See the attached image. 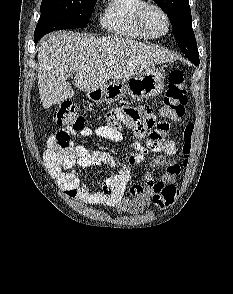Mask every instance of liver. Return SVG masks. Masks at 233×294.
Segmentation results:
<instances>
[{
  "label": "liver",
  "instance_id": "6515ba94",
  "mask_svg": "<svg viewBox=\"0 0 233 294\" xmlns=\"http://www.w3.org/2000/svg\"><path fill=\"white\" fill-rule=\"evenodd\" d=\"M174 57L156 45L119 36L87 37L69 32L45 36L38 49V88L43 108L74 96L68 82L81 91H95L110 79H127Z\"/></svg>",
  "mask_w": 233,
  "mask_h": 294
}]
</instances>
